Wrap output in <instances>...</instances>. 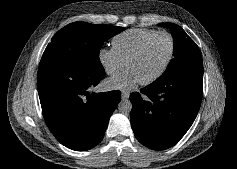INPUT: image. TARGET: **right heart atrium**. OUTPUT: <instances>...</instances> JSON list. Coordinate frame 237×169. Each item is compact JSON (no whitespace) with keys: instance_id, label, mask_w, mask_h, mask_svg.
<instances>
[{"instance_id":"obj_1","label":"right heart atrium","mask_w":237,"mask_h":169,"mask_svg":"<svg viewBox=\"0 0 237 169\" xmlns=\"http://www.w3.org/2000/svg\"><path fill=\"white\" fill-rule=\"evenodd\" d=\"M98 60L110 76H115L125 68V62L113 48H100Z\"/></svg>"}]
</instances>
